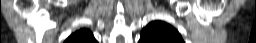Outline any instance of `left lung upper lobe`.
<instances>
[{
    "mask_svg": "<svg viewBox=\"0 0 256 43\" xmlns=\"http://www.w3.org/2000/svg\"><path fill=\"white\" fill-rule=\"evenodd\" d=\"M139 43H184L179 32L162 21L149 23L141 32Z\"/></svg>",
    "mask_w": 256,
    "mask_h": 43,
    "instance_id": "obj_1",
    "label": "left lung upper lobe"
}]
</instances>
